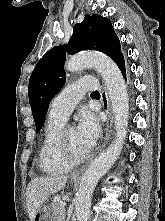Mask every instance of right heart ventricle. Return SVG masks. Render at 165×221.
<instances>
[{
    "instance_id": "e07e8e85",
    "label": "right heart ventricle",
    "mask_w": 165,
    "mask_h": 221,
    "mask_svg": "<svg viewBox=\"0 0 165 221\" xmlns=\"http://www.w3.org/2000/svg\"><path fill=\"white\" fill-rule=\"evenodd\" d=\"M63 126L64 121L48 119L44 128L38 155V166L45 174H64L72 168V165L67 163L59 152L58 142Z\"/></svg>"
}]
</instances>
